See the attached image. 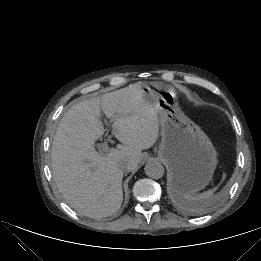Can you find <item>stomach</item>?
Segmentation results:
<instances>
[{
	"label": "stomach",
	"instance_id": "0dacf381",
	"mask_svg": "<svg viewBox=\"0 0 261 261\" xmlns=\"http://www.w3.org/2000/svg\"><path fill=\"white\" fill-rule=\"evenodd\" d=\"M142 91L159 108L158 156L169 169L171 192L174 196L197 193L212 179L217 165L216 150L200 127L180 110L171 88L145 82Z\"/></svg>",
	"mask_w": 261,
	"mask_h": 261
}]
</instances>
